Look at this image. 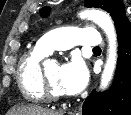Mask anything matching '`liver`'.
Listing matches in <instances>:
<instances>
[{
  "instance_id": "obj_1",
  "label": "liver",
  "mask_w": 131,
  "mask_h": 115,
  "mask_svg": "<svg viewBox=\"0 0 131 115\" xmlns=\"http://www.w3.org/2000/svg\"><path fill=\"white\" fill-rule=\"evenodd\" d=\"M9 114L13 115H59L57 112L42 109L37 106H17Z\"/></svg>"
}]
</instances>
